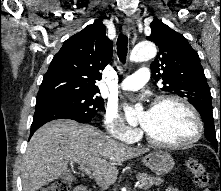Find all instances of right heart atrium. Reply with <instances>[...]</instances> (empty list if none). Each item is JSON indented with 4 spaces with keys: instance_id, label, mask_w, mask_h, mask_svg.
Listing matches in <instances>:
<instances>
[{
    "instance_id": "right-heart-atrium-1",
    "label": "right heart atrium",
    "mask_w": 221,
    "mask_h": 191,
    "mask_svg": "<svg viewBox=\"0 0 221 191\" xmlns=\"http://www.w3.org/2000/svg\"><path fill=\"white\" fill-rule=\"evenodd\" d=\"M103 124L108 135L118 141L134 143L140 137L139 130L127 126L112 107L106 108L103 114Z\"/></svg>"
}]
</instances>
